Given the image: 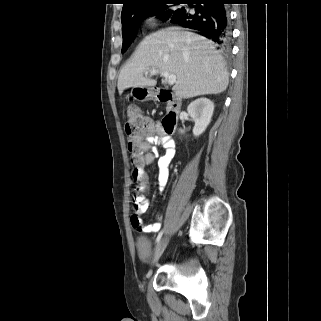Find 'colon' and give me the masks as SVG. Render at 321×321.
Wrapping results in <instances>:
<instances>
[{
    "mask_svg": "<svg viewBox=\"0 0 321 321\" xmlns=\"http://www.w3.org/2000/svg\"><path fill=\"white\" fill-rule=\"evenodd\" d=\"M152 122L143 112L136 106H129L126 110L125 132L128 138V150L134 166L132 177L135 183L145 181L146 175L143 169L145 154L148 151L144 144V138L150 134L152 130ZM139 198H148L149 192L145 187L138 192ZM134 220L138 219L136 213L132 214Z\"/></svg>",
    "mask_w": 321,
    "mask_h": 321,
    "instance_id": "obj_1",
    "label": "colon"
}]
</instances>
